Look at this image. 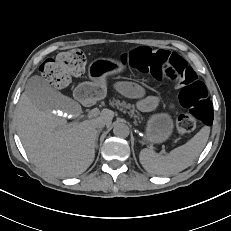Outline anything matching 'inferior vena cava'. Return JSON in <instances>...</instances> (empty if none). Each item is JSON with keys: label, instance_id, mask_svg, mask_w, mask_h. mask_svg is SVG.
<instances>
[{"label": "inferior vena cava", "instance_id": "obj_1", "mask_svg": "<svg viewBox=\"0 0 231 231\" xmlns=\"http://www.w3.org/2000/svg\"><path fill=\"white\" fill-rule=\"evenodd\" d=\"M105 126V123L103 122V121H100V122H97L96 124H95V127L96 128H103Z\"/></svg>", "mask_w": 231, "mask_h": 231}]
</instances>
